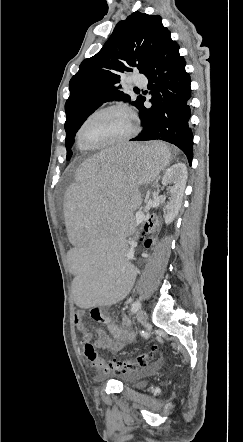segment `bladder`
<instances>
[{
  "mask_svg": "<svg viewBox=\"0 0 243 442\" xmlns=\"http://www.w3.org/2000/svg\"><path fill=\"white\" fill-rule=\"evenodd\" d=\"M148 373L147 370L139 371L133 375H131L128 379V383L131 386L142 388L146 385V383L143 381L144 377Z\"/></svg>",
  "mask_w": 243,
  "mask_h": 442,
  "instance_id": "31cf9c89",
  "label": "bladder"
}]
</instances>
